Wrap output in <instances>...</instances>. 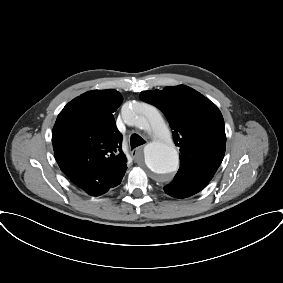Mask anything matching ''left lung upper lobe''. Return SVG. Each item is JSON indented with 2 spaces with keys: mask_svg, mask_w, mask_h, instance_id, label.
<instances>
[{
  "mask_svg": "<svg viewBox=\"0 0 283 283\" xmlns=\"http://www.w3.org/2000/svg\"><path fill=\"white\" fill-rule=\"evenodd\" d=\"M141 98L163 111L180 147V168L172 182L182 178L206 186L225 154L224 120L217 106L184 85L143 91Z\"/></svg>",
  "mask_w": 283,
  "mask_h": 283,
  "instance_id": "obj_1",
  "label": "left lung upper lobe"
}]
</instances>
